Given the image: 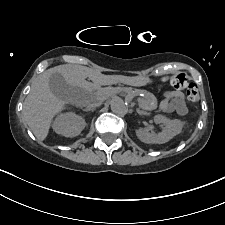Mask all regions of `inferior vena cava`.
I'll return each mask as SVG.
<instances>
[{
	"instance_id": "1",
	"label": "inferior vena cava",
	"mask_w": 225,
	"mask_h": 225,
	"mask_svg": "<svg viewBox=\"0 0 225 225\" xmlns=\"http://www.w3.org/2000/svg\"><path fill=\"white\" fill-rule=\"evenodd\" d=\"M102 101H103V97H102V96H98V97L95 98V100H94L93 103H90V104L87 106V108H92V109H94V108L100 106L101 103H102Z\"/></svg>"
}]
</instances>
